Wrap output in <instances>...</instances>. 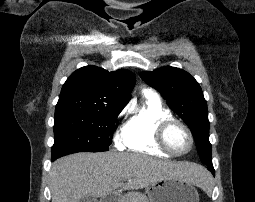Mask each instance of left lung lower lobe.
Segmentation results:
<instances>
[{"mask_svg":"<svg viewBox=\"0 0 255 202\" xmlns=\"http://www.w3.org/2000/svg\"><path fill=\"white\" fill-rule=\"evenodd\" d=\"M206 165L208 166V169H209V170L213 173V175H214L215 171H214L212 162H207Z\"/></svg>","mask_w":255,"mask_h":202,"instance_id":"obj_1","label":"left lung lower lobe"}]
</instances>
